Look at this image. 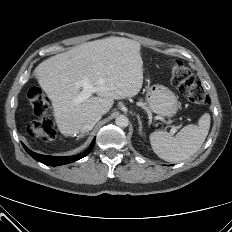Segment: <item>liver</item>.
<instances>
[{"mask_svg":"<svg viewBox=\"0 0 232 232\" xmlns=\"http://www.w3.org/2000/svg\"><path fill=\"white\" fill-rule=\"evenodd\" d=\"M140 43L123 37H108L83 43L40 63L33 71L51 100L59 131L74 136L92 114L104 115L114 100L134 97L143 84ZM88 80L96 95L75 105L82 91L76 82Z\"/></svg>","mask_w":232,"mask_h":232,"instance_id":"obj_1","label":"liver"}]
</instances>
